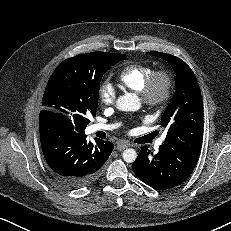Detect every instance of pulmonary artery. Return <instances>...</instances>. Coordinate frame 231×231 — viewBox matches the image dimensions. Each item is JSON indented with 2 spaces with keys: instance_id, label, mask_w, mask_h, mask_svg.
I'll use <instances>...</instances> for the list:
<instances>
[{
  "instance_id": "obj_1",
  "label": "pulmonary artery",
  "mask_w": 231,
  "mask_h": 231,
  "mask_svg": "<svg viewBox=\"0 0 231 231\" xmlns=\"http://www.w3.org/2000/svg\"><path fill=\"white\" fill-rule=\"evenodd\" d=\"M116 127V125L111 124H94L90 127V132L96 131H109ZM163 143V139L158 140L156 144V148L158 149L159 146Z\"/></svg>"
}]
</instances>
